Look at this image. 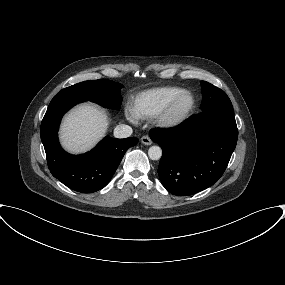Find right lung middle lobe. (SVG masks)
<instances>
[{
    "label": "right lung middle lobe",
    "instance_id": "dd1d6c3e",
    "mask_svg": "<svg viewBox=\"0 0 285 285\" xmlns=\"http://www.w3.org/2000/svg\"><path fill=\"white\" fill-rule=\"evenodd\" d=\"M123 86L117 82L99 79L84 81L61 90L60 95H71L80 101H91L104 108L119 109L122 102L120 90Z\"/></svg>",
    "mask_w": 285,
    "mask_h": 285
}]
</instances>
